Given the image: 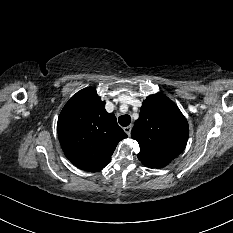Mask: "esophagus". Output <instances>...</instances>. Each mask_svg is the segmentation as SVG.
Here are the masks:
<instances>
[{"instance_id": "obj_1", "label": "esophagus", "mask_w": 233, "mask_h": 233, "mask_svg": "<svg viewBox=\"0 0 233 233\" xmlns=\"http://www.w3.org/2000/svg\"><path fill=\"white\" fill-rule=\"evenodd\" d=\"M131 129H132V126L124 127V131L126 132V134H127L128 136H130V134H131Z\"/></svg>"}]
</instances>
